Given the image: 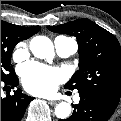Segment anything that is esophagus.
<instances>
[{
    "instance_id": "34e87169",
    "label": "esophagus",
    "mask_w": 121,
    "mask_h": 121,
    "mask_svg": "<svg viewBox=\"0 0 121 121\" xmlns=\"http://www.w3.org/2000/svg\"><path fill=\"white\" fill-rule=\"evenodd\" d=\"M50 105H55L57 102L56 101H49L48 102Z\"/></svg>"
}]
</instances>
